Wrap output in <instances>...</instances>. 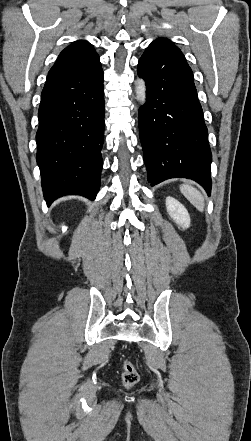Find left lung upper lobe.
<instances>
[{
    "label": "left lung upper lobe",
    "mask_w": 251,
    "mask_h": 441,
    "mask_svg": "<svg viewBox=\"0 0 251 441\" xmlns=\"http://www.w3.org/2000/svg\"><path fill=\"white\" fill-rule=\"evenodd\" d=\"M150 45L166 46L180 51V49L177 48L170 40L165 38H158L157 40L153 41Z\"/></svg>",
    "instance_id": "obj_1"
}]
</instances>
